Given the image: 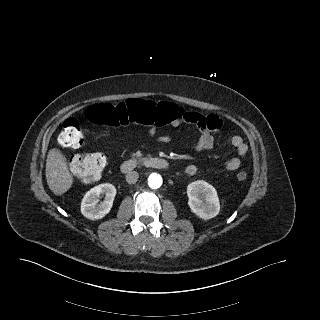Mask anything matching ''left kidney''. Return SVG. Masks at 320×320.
Listing matches in <instances>:
<instances>
[{"label": "left kidney", "instance_id": "1", "mask_svg": "<svg viewBox=\"0 0 320 320\" xmlns=\"http://www.w3.org/2000/svg\"><path fill=\"white\" fill-rule=\"evenodd\" d=\"M188 206L191 211L204 220L219 214L220 203L216 189L209 183L198 180L187 186Z\"/></svg>", "mask_w": 320, "mask_h": 320}]
</instances>
